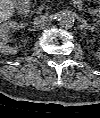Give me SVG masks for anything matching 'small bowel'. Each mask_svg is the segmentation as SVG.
Here are the masks:
<instances>
[{
  "label": "small bowel",
  "instance_id": "obj_1",
  "mask_svg": "<svg viewBox=\"0 0 100 118\" xmlns=\"http://www.w3.org/2000/svg\"><path fill=\"white\" fill-rule=\"evenodd\" d=\"M81 3H82V0H79V4L81 5Z\"/></svg>",
  "mask_w": 100,
  "mask_h": 118
}]
</instances>
